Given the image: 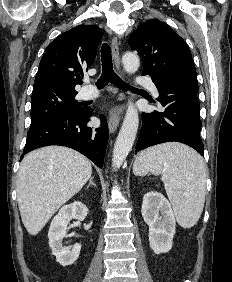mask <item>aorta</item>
Masks as SVG:
<instances>
[{
	"mask_svg": "<svg viewBox=\"0 0 232 282\" xmlns=\"http://www.w3.org/2000/svg\"><path fill=\"white\" fill-rule=\"evenodd\" d=\"M122 63L125 71L129 74L136 72L140 66L138 56L130 51L123 54ZM138 125L139 117L137 109L132 102H129L121 130L114 145L112 156V164L114 169L120 168L123 161L132 150V146L134 144L138 130Z\"/></svg>",
	"mask_w": 232,
	"mask_h": 282,
	"instance_id": "aorta-1",
	"label": "aorta"
}]
</instances>
